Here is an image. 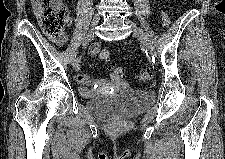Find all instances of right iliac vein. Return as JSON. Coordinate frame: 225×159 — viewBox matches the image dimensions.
I'll return each instance as SVG.
<instances>
[{
  "instance_id": "63e3f726",
  "label": "right iliac vein",
  "mask_w": 225,
  "mask_h": 159,
  "mask_svg": "<svg viewBox=\"0 0 225 159\" xmlns=\"http://www.w3.org/2000/svg\"><path fill=\"white\" fill-rule=\"evenodd\" d=\"M100 22V16L98 14L94 15L92 20H91V30L90 34L93 32L94 28L99 24ZM73 69L75 71L79 70L80 67V60L79 58H76L73 63H72Z\"/></svg>"
}]
</instances>
